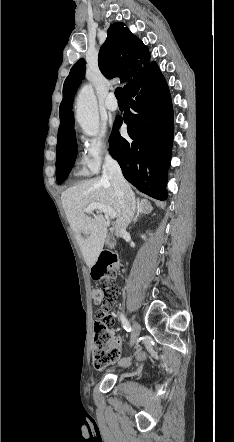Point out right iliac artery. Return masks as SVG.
Returning a JSON list of instances; mask_svg holds the SVG:
<instances>
[{"instance_id":"1","label":"right iliac artery","mask_w":234,"mask_h":442,"mask_svg":"<svg viewBox=\"0 0 234 442\" xmlns=\"http://www.w3.org/2000/svg\"><path fill=\"white\" fill-rule=\"evenodd\" d=\"M120 320L123 324L124 329L126 331L130 332L131 331L130 323L128 322V320L126 319V317L123 314H120Z\"/></svg>"}]
</instances>
